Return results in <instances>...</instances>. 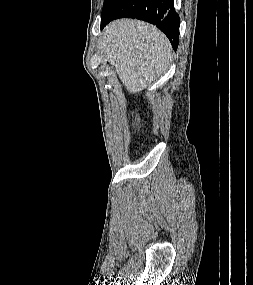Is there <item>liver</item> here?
<instances>
[{
    "mask_svg": "<svg viewBox=\"0 0 253 285\" xmlns=\"http://www.w3.org/2000/svg\"><path fill=\"white\" fill-rule=\"evenodd\" d=\"M106 59L130 93L149 86L170 65L172 47L155 26L139 20L120 19L103 32Z\"/></svg>",
    "mask_w": 253,
    "mask_h": 285,
    "instance_id": "liver-1",
    "label": "liver"
}]
</instances>
